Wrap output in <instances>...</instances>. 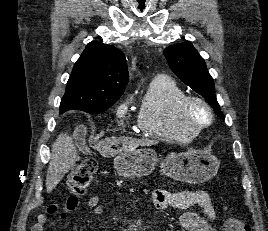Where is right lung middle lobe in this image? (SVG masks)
<instances>
[{
  "label": "right lung middle lobe",
  "instance_id": "1",
  "mask_svg": "<svg viewBox=\"0 0 268 231\" xmlns=\"http://www.w3.org/2000/svg\"><path fill=\"white\" fill-rule=\"evenodd\" d=\"M117 100L118 99L104 101L99 104H92V105L67 102L64 104H60V114L70 109L82 110L88 113H102L106 111L110 106H112Z\"/></svg>",
  "mask_w": 268,
  "mask_h": 231
}]
</instances>
